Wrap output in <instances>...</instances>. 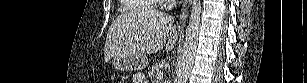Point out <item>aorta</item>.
I'll return each mask as SVG.
<instances>
[{
    "instance_id": "762f6f07",
    "label": "aorta",
    "mask_w": 307,
    "mask_h": 83,
    "mask_svg": "<svg viewBox=\"0 0 307 83\" xmlns=\"http://www.w3.org/2000/svg\"><path fill=\"white\" fill-rule=\"evenodd\" d=\"M201 21V0H194L188 26L185 45L176 71L175 83H187L196 53Z\"/></svg>"
}]
</instances>
